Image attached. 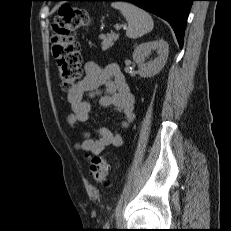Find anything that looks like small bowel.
<instances>
[{
    "label": "small bowel",
    "instance_id": "obj_1",
    "mask_svg": "<svg viewBox=\"0 0 231 231\" xmlns=\"http://www.w3.org/2000/svg\"><path fill=\"white\" fill-rule=\"evenodd\" d=\"M85 76L67 92V101L71 114L67 122L72 129L79 123L87 122L91 115V103L85 96L98 97V104L103 108L113 107L121 114L118 126L121 130L129 127L135 118L134 95L117 64L111 63L100 67L89 61L85 64ZM82 140L75 144L78 151L99 155L109 146L118 147L123 142L122 132H113L101 127L97 130V138L88 131L81 132Z\"/></svg>",
    "mask_w": 231,
    "mask_h": 231
}]
</instances>
